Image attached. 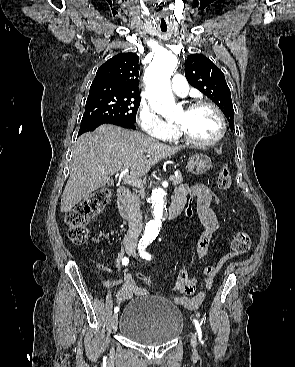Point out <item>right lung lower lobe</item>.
I'll list each match as a JSON object with an SVG mask.
<instances>
[{"label": "right lung lower lobe", "mask_w": 295, "mask_h": 367, "mask_svg": "<svg viewBox=\"0 0 295 367\" xmlns=\"http://www.w3.org/2000/svg\"><path fill=\"white\" fill-rule=\"evenodd\" d=\"M114 124V125H117V126H121V127H124V128H128V129H135L136 126H135V122H132V121H127V120H114V121H110V122H98V123H92V124H89L87 126H84V127H80V130H79V135L80 134H83L85 132H88V131H93L95 130L99 125L101 124Z\"/></svg>", "instance_id": "right-lung-lower-lobe-1"}]
</instances>
